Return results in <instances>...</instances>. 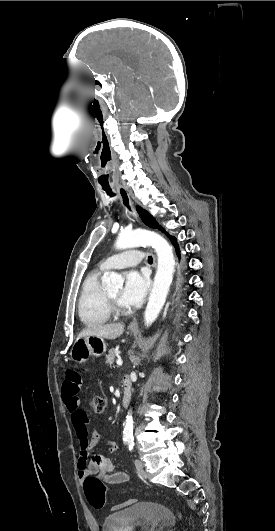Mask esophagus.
I'll return each instance as SVG.
<instances>
[{"label": "esophagus", "instance_id": "esophagus-1", "mask_svg": "<svg viewBox=\"0 0 275 531\" xmlns=\"http://www.w3.org/2000/svg\"><path fill=\"white\" fill-rule=\"evenodd\" d=\"M116 189L119 193V197H120V200H121V203L125 209V211L135 220L138 219V214H137V211L135 210L134 206H133V203H132V200L128 194V191L121 185H117L116 186ZM138 326V323H137V320L136 319H133V321H131V323L129 324V327L130 328H137Z\"/></svg>", "mask_w": 275, "mask_h": 531}]
</instances>
